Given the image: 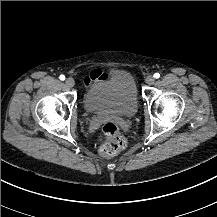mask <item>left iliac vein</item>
I'll return each mask as SVG.
<instances>
[{"label":"left iliac vein","mask_w":217,"mask_h":217,"mask_svg":"<svg viewBox=\"0 0 217 217\" xmlns=\"http://www.w3.org/2000/svg\"><path fill=\"white\" fill-rule=\"evenodd\" d=\"M154 82H155V77H154V76L148 75V76L146 77V83H147L148 85H152V84H154Z\"/></svg>","instance_id":"left-iliac-vein-1"}]
</instances>
